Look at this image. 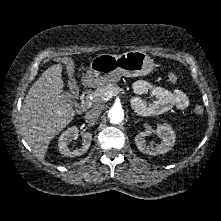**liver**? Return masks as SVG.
<instances>
[{"label": "liver", "mask_w": 221, "mask_h": 221, "mask_svg": "<svg viewBox=\"0 0 221 221\" xmlns=\"http://www.w3.org/2000/svg\"><path fill=\"white\" fill-rule=\"evenodd\" d=\"M62 65L45 70L29 89L21 108L24 138L43 159L51 140L73 120L75 110L64 98Z\"/></svg>", "instance_id": "6515ba94"}]
</instances>
